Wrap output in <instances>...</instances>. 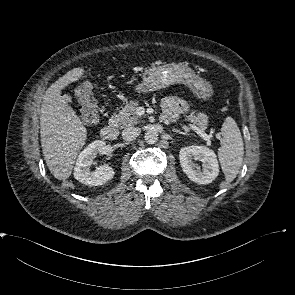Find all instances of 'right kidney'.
Returning <instances> with one entry per match:
<instances>
[{
  "instance_id": "right-kidney-1",
  "label": "right kidney",
  "mask_w": 295,
  "mask_h": 295,
  "mask_svg": "<svg viewBox=\"0 0 295 295\" xmlns=\"http://www.w3.org/2000/svg\"><path fill=\"white\" fill-rule=\"evenodd\" d=\"M108 151L106 143L96 140L90 143L78 156L74 167V177L79 182L89 186H100L111 180L114 170L108 165L99 166L95 171H91L93 157L96 154H106Z\"/></svg>"
}]
</instances>
